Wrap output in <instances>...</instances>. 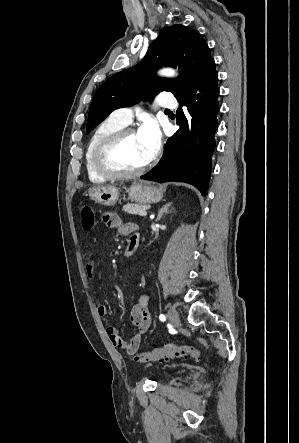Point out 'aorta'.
Returning <instances> with one entry per match:
<instances>
[{"label":"aorta","mask_w":299,"mask_h":443,"mask_svg":"<svg viewBox=\"0 0 299 443\" xmlns=\"http://www.w3.org/2000/svg\"><path fill=\"white\" fill-rule=\"evenodd\" d=\"M160 75L167 76V77H173L175 75V71L172 69H163L160 71Z\"/></svg>","instance_id":"1"}]
</instances>
